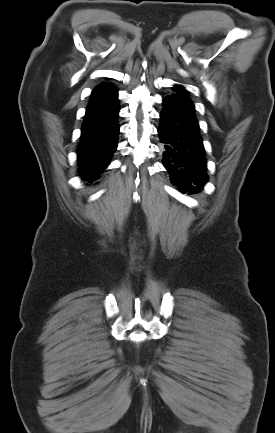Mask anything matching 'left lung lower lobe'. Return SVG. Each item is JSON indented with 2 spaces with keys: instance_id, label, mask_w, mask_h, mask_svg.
<instances>
[{
  "instance_id": "left-lung-lower-lobe-1",
  "label": "left lung lower lobe",
  "mask_w": 275,
  "mask_h": 433,
  "mask_svg": "<svg viewBox=\"0 0 275 433\" xmlns=\"http://www.w3.org/2000/svg\"><path fill=\"white\" fill-rule=\"evenodd\" d=\"M163 98L158 135L163 164L182 193H197L208 181L206 159L194 104L181 86Z\"/></svg>"
}]
</instances>
